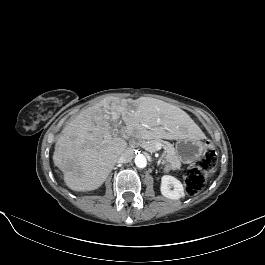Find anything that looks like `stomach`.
I'll list each match as a JSON object with an SVG mask.
<instances>
[{
	"instance_id": "obj_1",
	"label": "stomach",
	"mask_w": 265,
	"mask_h": 265,
	"mask_svg": "<svg viewBox=\"0 0 265 265\" xmlns=\"http://www.w3.org/2000/svg\"><path fill=\"white\" fill-rule=\"evenodd\" d=\"M175 151L183 163H192L203 153V144L199 138L183 137L177 139Z\"/></svg>"
}]
</instances>
